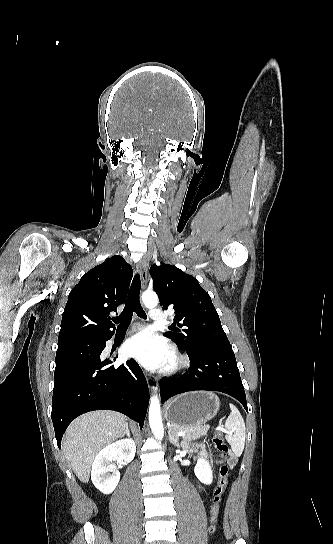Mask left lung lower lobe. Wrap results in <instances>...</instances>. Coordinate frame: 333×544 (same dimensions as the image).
I'll use <instances>...</instances> for the list:
<instances>
[{"mask_svg":"<svg viewBox=\"0 0 333 544\" xmlns=\"http://www.w3.org/2000/svg\"><path fill=\"white\" fill-rule=\"evenodd\" d=\"M190 367L178 378L162 379L160 382L161 400L195 390H211L226 393L236 398L246 411V395L232 349L204 347L187 353Z\"/></svg>","mask_w":333,"mask_h":544,"instance_id":"0a47b994","label":"left lung lower lobe"}]
</instances>
